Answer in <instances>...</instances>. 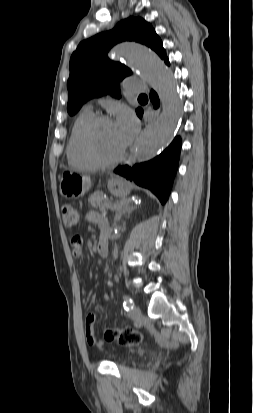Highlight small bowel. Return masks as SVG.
<instances>
[{"instance_id": "c3829d8e", "label": "small bowel", "mask_w": 253, "mask_h": 413, "mask_svg": "<svg viewBox=\"0 0 253 413\" xmlns=\"http://www.w3.org/2000/svg\"><path fill=\"white\" fill-rule=\"evenodd\" d=\"M87 219L89 221L100 224L104 230L106 229V226H107L106 219L103 216L99 215L98 213H95V212L89 213L87 215ZM71 245L73 248V254L75 256H79L82 250L81 237L78 235L73 236L71 239ZM103 299L104 300L108 299V295L106 292H103ZM95 322H96V316L94 314H89L86 318V324H85L86 339L89 345L101 347L103 345V342L96 338L95 332H94Z\"/></svg>"}]
</instances>
